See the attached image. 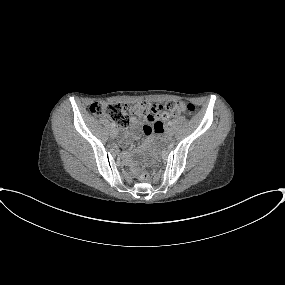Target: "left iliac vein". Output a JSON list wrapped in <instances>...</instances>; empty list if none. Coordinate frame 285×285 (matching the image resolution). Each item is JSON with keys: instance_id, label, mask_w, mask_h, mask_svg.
<instances>
[{"instance_id": "1", "label": "left iliac vein", "mask_w": 285, "mask_h": 285, "mask_svg": "<svg viewBox=\"0 0 285 285\" xmlns=\"http://www.w3.org/2000/svg\"><path fill=\"white\" fill-rule=\"evenodd\" d=\"M166 135L169 137V138H172L174 136V132L171 128H168L166 130Z\"/></svg>"}]
</instances>
